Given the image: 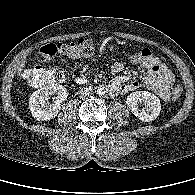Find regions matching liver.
I'll return each mask as SVG.
<instances>
[{"instance_id": "6515ba94", "label": "liver", "mask_w": 195, "mask_h": 195, "mask_svg": "<svg viewBox=\"0 0 195 195\" xmlns=\"http://www.w3.org/2000/svg\"><path fill=\"white\" fill-rule=\"evenodd\" d=\"M24 66H25L24 63H22V64L20 65V71L22 70L21 68H23Z\"/></svg>"}]
</instances>
